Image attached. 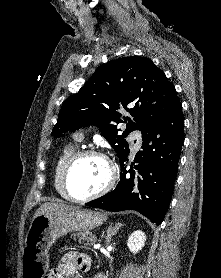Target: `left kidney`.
Here are the masks:
<instances>
[{"instance_id":"5707ae66","label":"left kidney","mask_w":221,"mask_h":278,"mask_svg":"<svg viewBox=\"0 0 221 278\" xmlns=\"http://www.w3.org/2000/svg\"><path fill=\"white\" fill-rule=\"evenodd\" d=\"M145 241V233L140 230H137L129 236L127 246L133 254H136L144 247Z\"/></svg>"}]
</instances>
